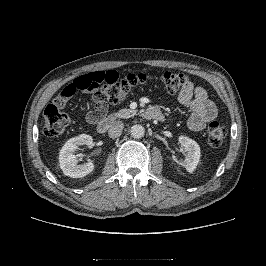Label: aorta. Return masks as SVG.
Instances as JSON below:
<instances>
[{
	"label": "aorta",
	"instance_id": "762f6f07",
	"mask_svg": "<svg viewBox=\"0 0 266 266\" xmlns=\"http://www.w3.org/2000/svg\"><path fill=\"white\" fill-rule=\"evenodd\" d=\"M130 132L132 137L139 139L144 137L145 129L142 125L136 124L131 127Z\"/></svg>",
	"mask_w": 266,
	"mask_h": 266
}]
</instances>
